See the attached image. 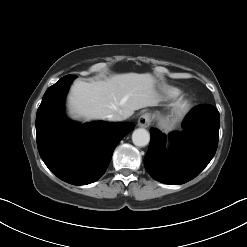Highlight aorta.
Returning a JSON list of instances; mask_svg holds the SVG:
<instances>
[{"instance_id":"1","label":"aorta","mask_w":247,"mask_h":247,"mask_svg":"<svg viewBox=\"0 0 247 247\" xmlns=\"http://www.w3.org/2000/svg\"><path fill=\"white\" fill-rule=\"evenodd\" d=\"M149 132L144 128L134 130L132 134V141L135 146L144 147L149 143Z\"/></svg>"}]
</instances>
